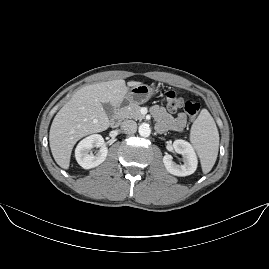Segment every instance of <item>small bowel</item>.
<instances>
[{
    "mask_svg": "<svg viewBox=\"0 0 269 269\" xmlns=\"http://www.w3.org/2000/svg\"><path fill=\"white\" fill-rule=\"evenodd\" d=\"M151 113L157 121L156 129L158 132H164L168 129L181 132L185 129L187 117L184 113L171 117L163 107L158 105L152 107Z\"/></svg>",
    "mask_w": 269,
    "mask_h": 269,
    "instance_id": "obj_1",
    "label": "small bowel"
}]
</instances>
